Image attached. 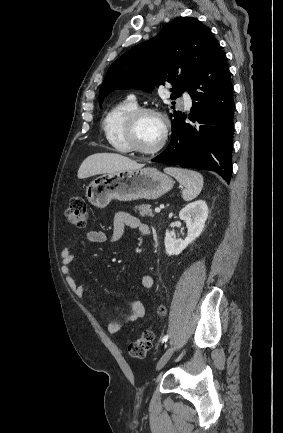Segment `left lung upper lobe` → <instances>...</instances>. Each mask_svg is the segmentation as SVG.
Here are the masks:
<instances>
[{"label": "left lung upper lobe", "mask_w": 283, "mask_h": 433, "mask_svg": "<svg viewBox=\"0 0 283 433\" xmlns=\"http://www.w3.org/2000/svg\"><path fill=\"white\" fill-rule=\"evenodd\" d=\"M216 43L208 27L193 17L167 23L157 36L133 47L110 66L100 88L99 105L115 89L151 92L155 85L165 82L173 86L171 99L180 97ZM180 115L181 111H174L171 118Z\"/></svg>", "instance_id": "5c2ea615"}]
</instances>
